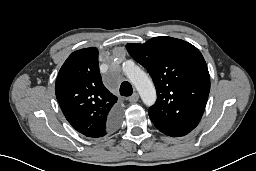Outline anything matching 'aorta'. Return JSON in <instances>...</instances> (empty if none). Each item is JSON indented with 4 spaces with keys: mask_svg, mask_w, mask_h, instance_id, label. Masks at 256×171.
Listing matches in <instances>:
<instances>
[{
    "mask_svg": "<svg viewBox=\"0 0 256 171\" xmlns=\"http://www.w3.org/2000/svg\"><path fill=\"white\" fill-rule=\"evenodd\" d=\"M123 71L135 86L144 104L153 105L156 101V90L148 75L131 61L125 63Z\"/></svg>",
    "mask_w": 256,
    "mask_h": 171,
    "instance_id": "obj_1",
    "label": "aorta"
}]
</instances>
